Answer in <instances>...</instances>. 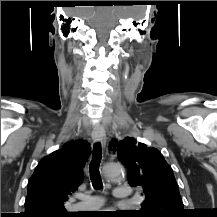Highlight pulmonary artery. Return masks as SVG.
I'll return each instance as SVG.
<instances>
[{"instance_id": "1", "label": "pulmonary artery", "mask_w": 217, "mask_h": 217, "mask_svg": "<svg viewBox=\"0 0 217 217\" xmlns=\"http://www.w3.org/2000/svg\"><path fill=\"white\" fill-rule=\"evenodd\" d=\"M113 195L117 199H128L130 196V189L126 186H118L114 189ZM82 202L74 205L75 209L93 210L100 208L104 201L97 195H84L81 197Z\"/></svg>"}]
</instances>
